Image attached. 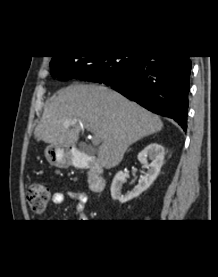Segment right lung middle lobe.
I'll use <instances>...</instances> for the list:
<instances>
[{
    "mask_svg": "<svg viewBox=\"0 0 218 277\" xmlns=\"http://www.w3.org/2000/svg\"><path fill=\"white\" fill-rule=\"evenodd\" d=\"M141 56H59L51 60V74L60 80L79 77L82 80L117 81L123 78Z\"/></svg>",
    "mask_w": 218,
    "mask_h": 277,
    "instance_id": "dd1d6c3e",
    "label": "right lung middle lobe"
}]
</instances>
